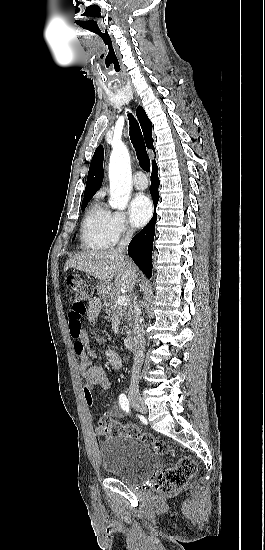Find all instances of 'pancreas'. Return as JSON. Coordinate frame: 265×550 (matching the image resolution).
<instances>
[{"label": "pancreas", "instance_id": "pancreas-1", "mask_svg": "<svg viewBox=\"0 0 265 550\" xmlns=\"http://www.w3.org/2000/svg\"><path fill=\"white\" fill-rule=\"evenodd\" d=\"M118 297H119V294L116 292H113L106 298L104 302L106 313L108 314L116 313L123 322L127 323L123 326L122 330L125 329L127 333H131V330L129 328L131 327L130 321L132 320V314H133L132 305L130 303L128 305H118L117 304Z\"/></svg>", "mask_w": 265, "mask_h": 550}]
</instances>
